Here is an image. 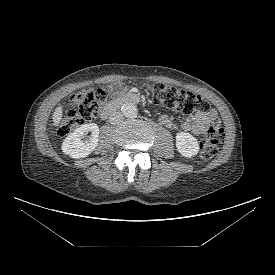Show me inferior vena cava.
Returning a JSON list of instances; mask_svg holds the SVG:
<instances>
[{
    "instance_id": "inferior-vena-cava-1",
    "label": "inferior vena cava",
    "mask_w": 275,
    "mask_h": 275,
    "mask_svg": "<svg viewBox=\"0 0 275 275\" xmlns=\"http://www.w3.org/2000/svg\"><path fill=\"white\" fill-rule=\"evenodd\" d=\"M122 119H123L122 113L119 111H114L109 117V122L111 124H118L119 122L122 121Z\"/></svg>"
}]
</instances>
